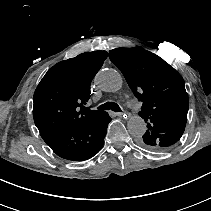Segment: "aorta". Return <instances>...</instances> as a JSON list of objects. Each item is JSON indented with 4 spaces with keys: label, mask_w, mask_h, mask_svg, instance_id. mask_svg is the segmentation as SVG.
<instances>
[{
    "label": "aorta",
    "mask_w": 211,
    "mask_h": 211,
    "mask_svg": "<svg viewBox=\"0 0 211 211\" xmlns=\"http://www.w3.org/2000/svg\"><path fill=\"white\" fill-rule=\"evenodd\" d=\"M95 82L105 92H116L122 87V76L114 69H104L99 71L95 77ZM129 132L140 137L146 132V123L143 118L138 115L131 116L127 122Z\"/></svg>",
    "instance_id": "obj_1"
}]
</instances>
